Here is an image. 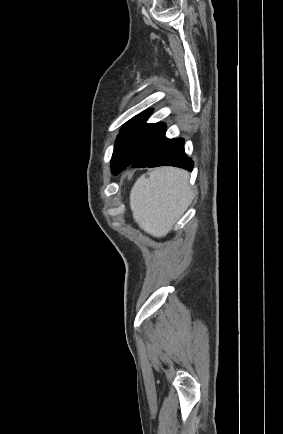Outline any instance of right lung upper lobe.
Instances as JSON below:
<instances>
[{"label":"right lung upper lobe","mask_w":283,"mask_h":434,"mask_svg":"<svg viewBox=\"0 0 283 434\" xmlns=\"http://www.w3.org/2000/svg\"><path fill=\"white\" fill-rule=\"evenodd\" d=\"M152 113L151 110H147L145 112H142L141 114L137 115V116H149Z\"/></svg>","instance_id":"cb5924a9"}]
</instances>
